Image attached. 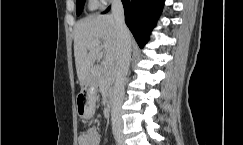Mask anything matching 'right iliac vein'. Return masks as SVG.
I'll return each mask as SVG.
<instances>
[{"mask_svg":"<svg viewBox=\"0 0 243 145\" xmlns=\"http://www.w3.org/2000/svg\"><path fill=\"white\" fill-rule=\"evenodd\" d=\"M115 138L120 145H124V137L122 135L117 134Z\"/></svg>","mask_w":243,"mask_h":145,"instance_id":"right-iliac-vein-1","label":"right iliac vein"}]
</instances>
